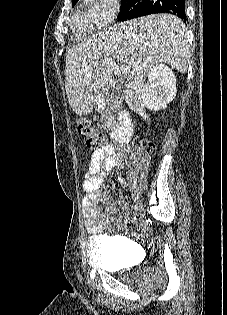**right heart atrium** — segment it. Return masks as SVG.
<instances>
[{"mask_svg": "<svg viewBox=\"0 0 227 315\" xmlns=\"http://www.w3.org/2000/svg\"><path fill=\"white\" fill-rule=\"evenodd\" d=\"M97 28H104L111 24L119 13V0H85Z\"/></svg>", "mask_w": 227, "mask_h": 315, "instance_id": "1", "label": "right heart atrium"}]
</instances>
